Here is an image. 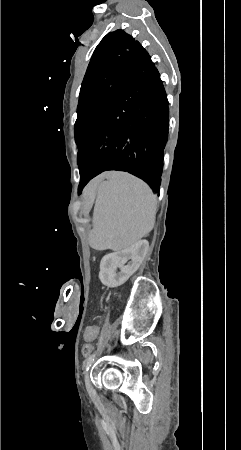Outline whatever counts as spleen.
Returning a JSON list of instances; mask_svg holds the SVG:
<instances>
[{
    "instance_id": "3e777b00",
    "label": "spleen",
    "mask_w": 241,
    "mask_h": 450,
    "mask_svg": "<svg viewBox=\"0 0 241 450\" xmlns=\"http://www.w3.org/2000/svg\"><path fill=\"white\" fill-rule=\"evenodd\" d=\"M97 202L98 211L113 212L94 213L87 241L96 253L125 250L153 230L156 196L143 180L127 172H111L99 186Z\"/></svg>"
}]
</instances>
